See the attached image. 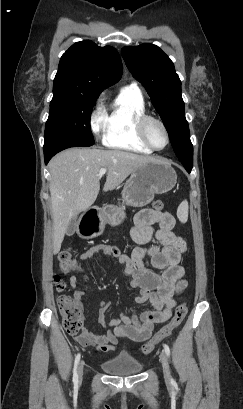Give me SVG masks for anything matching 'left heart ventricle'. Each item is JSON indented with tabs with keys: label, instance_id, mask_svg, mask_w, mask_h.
<instances>
[{
	"label": "left heart ventricle",
	"instance_id": "left-heart-ventricle-1",
	"mask_svg": "<svg viewBox=\"0 0 243 409\" xmlns=\"http://www.w3.org/2000/svg\"><path fill=\"white\" fill-rule=\"evenodd\" d=\"M147 134L152 144L157 148H163L166 144V136L162 128L155 122L147 125Z\"/></svg>",
	"mask_w": 243,
	"mask_h": 409
}]
</instances>
